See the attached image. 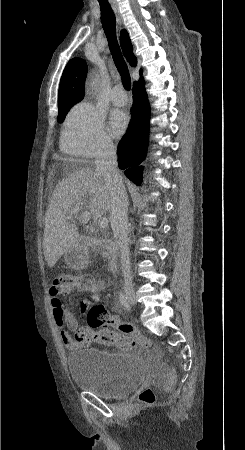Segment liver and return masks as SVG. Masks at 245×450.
<instances>
[{"instance_id": "liver-1", "label": "liver", "mask_w": 245, "mask_h": 450, "mask_svg": "<svg viewBox=\"0 0 245 450\" xmlns=\"http://www.w3.org/2000/svg\"><path fill=\"white\" fill-rule=\"evenodd\" d=\"M76 206L81 210L68 218ZM109 209V191L102 174L96 170L83 167L59 181L45 215L43 252L48 266L52 268L79 240L75 219L85 224L91 217L101 218Z\"/></svg>"}]
</instances>
